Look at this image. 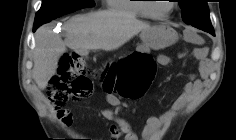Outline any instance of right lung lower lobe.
<instances>
[{
    "label": "right lung lower lobe",
    "instance_id": "obj_1",
    "mask_svg": "<svg viewBox=\"0 0 236 140\" xmlns=\"http://www.w3.org/2000/svg\"><path fill=\"white\" fill-rule=\"evenodd\" d=\"M39 26H34L33 27V31H35Z\"/></svg>",
    "mask_w": 236,
    "mask_h": 140
}]
</instances>
